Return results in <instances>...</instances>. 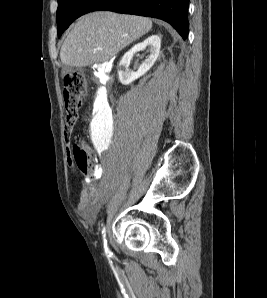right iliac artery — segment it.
<instances>
[{"instance_id":"obj_1","label":"right iliac artery","mask_w":267,"mask_h":298,"mask_svg":"<svg viewBox=\"0 0 267 298\" xmlns=\"http://www.w3.org/2000/svg\"><path fill=\"white\" fill-rule=\"evenodd\" d=\"M106 233H107V230H106V227L104 225L103 229H102V238H103L104 251H105L106 256L109 259H111V258H113V253L111 252V250L109 249V247L107 245Z\"/></svg>"}]
</instances>
